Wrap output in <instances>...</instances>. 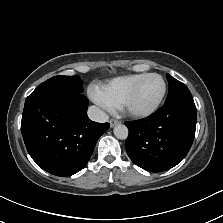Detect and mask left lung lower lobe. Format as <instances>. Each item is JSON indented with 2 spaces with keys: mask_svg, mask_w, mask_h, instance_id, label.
I'll list each match as a JSON object with an SVG mask.
<instances>
[{
  "mask_svg": "<svg viewBox=\"0 0 223 223\" xmlns=\"http://www.w3.org/2000/svg\"><path fill=\"white\" fill-rule=\"evenodd\" d=\"M197 110L194 103L164 104L138 121L125 122V142L130 159L151 172L168 170L189 152L195 136Z\"/></svg>",
  "mask_w": 223,
  "mask_h": 223,
  "instance_id": "left-lung-lower-lobe-1",
  "label": "left lung lower lobe"
}]
</instances>
